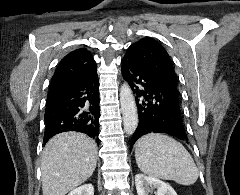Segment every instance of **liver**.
Returning a JSON list of instances; mask_svg holds the SVG:
<instances>
[{"instance_id":"1","label":"liver","mask_w":240,"mask_h":195,"mask_svg":"<svg viewBox=\"0 0 240 195\" xmlns=\"http://www.w3.org/2000/svg\"><path fill=\"white\" fill-rule=\"evenodd\" d=\"M97 143L79 131H64L49 139L42 151L43 195H65L92 175Z\"/></svg>"}]
</instances>
